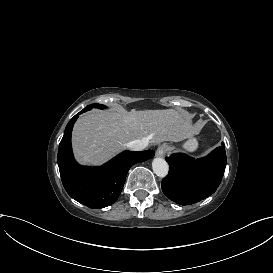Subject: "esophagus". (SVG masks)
<instances>
[{"label":"esophagus","instance_id":"1","mask_svg":"<svg viewBox=\"0 0 273 273\" xmlns=\"http://www.w3.org/2000/svg\"><path fill=\"white\" fill-rule=\"evenodd\" d=\"M168 148L166 146H159L158 149L156 150V156L163 157L165 156Z\"/></svg>","mask_w":273,"mask_h":273}]
</instances>
